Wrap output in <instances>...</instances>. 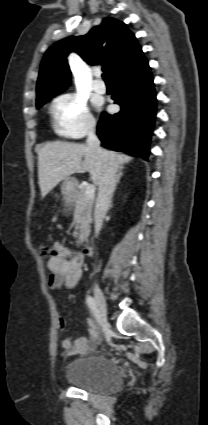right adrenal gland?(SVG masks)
Wrapping results in <instances>:
<instances>
[{
	"label": "right adrenal gland",
	"mask_w": 208,
	"mask_h": 425,
	"mask_svg": "<svg viewBox=\"0 0 208 425\" xmlns=\"http://www.w3.org/2000/svg\"><path fill=\"white\" fill-rule=\"evenodd\" d=\"M123 169H124V167L122 165H120L119 168H118L117 176H116V186L119 184L120 179L123 176V172H122Z\"/></svg>",
	"instance_id": "obj_1"
}]
</instances>
